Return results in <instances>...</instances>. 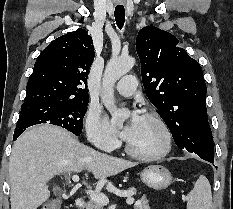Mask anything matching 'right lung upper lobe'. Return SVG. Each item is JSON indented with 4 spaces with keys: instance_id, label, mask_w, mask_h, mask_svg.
<instances>
[{
    "instance_id": "1",
    "label": "right lung upper lobe",
    "mask_w": 233,
    "mask_h": 209,
    "mask_svg": "<svg viewBox=\"0 0 233 209\" xmlns=\"http://www.w3.org/2000/svg\"><path fill=\"white\" fill-rule=\"evenodd\" d=\"M94 56L92 38L84 29L52 41L35 62L23 104L89 100L86 85Z\"/></svg>"
}]
</instances>
